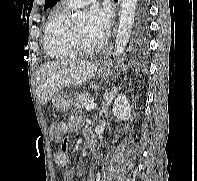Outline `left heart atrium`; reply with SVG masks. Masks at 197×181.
Listing matches in <instances>:
<instances>
[{"mask_svg": "<svg viewBox=\"0 0 197 181\" xmlns=\"http://www.w3.org/2000/svg\"><path fill=\"white\" fill-rule=\"evenodd\" d=\"M109 16V11L99 6H94L89 11L87 31L99 43L108 35L110 28Z\"/></svg>", "mask_w": 197, "mask_h": 181, "instance_id": "left-heart-atrium-1", "label": "left heart atrium"}]
</instances>
